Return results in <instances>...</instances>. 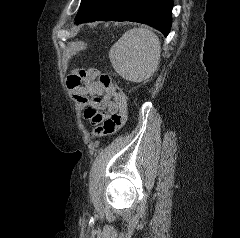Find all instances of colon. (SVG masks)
<instances>
[{
  "label": "colon",
  "instance_id": "colon-1",
  "mask_svg": "<svg viewBox=\"0 0 240 238\" xmlns=\"http://www.w3.org/2000/svg\"><path fill=\"white\" fill-rule=\"evenodd\" d=\"M95 77L103 88L109 92L118 111L110 117L104 119L100 124L96 125L92 132V137H103L117 133L125 124L127 119V101L125 94L113 83L110 75L95 70Z\"/></svg>",
  "mask_w": 240,
  "mask_h": 238
}]
</instances>
